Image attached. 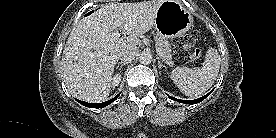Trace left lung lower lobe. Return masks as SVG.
<instances>
[{
  "mask_svg": "<svg viewBox=\"0 0 276 138\" xmlns=\"http://www.w3.org/2000/svg\"><path fill=\"white\" fill-rule=\"evenodd\" d=\"M211 92H212V91H211ZM211 92H209V93L206 94L205 96H203V97H201V98H198V99H195V100H180V99H177V98H174V97H170V98H171L172 100L177 101V102H180V103L193 105V104H197V103L201 102L202 100H204Z\"/></svg>",
  "mask_w": 276,
  "mask_h": 138,
  "instance_id": "left-lung-lower-lobe-1",
  "label": "left lung lower lobe"
}]
</instances>
